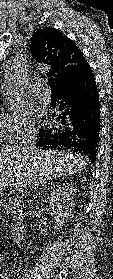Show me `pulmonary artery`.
Returning a JSON list of instances; mask_svg holds the SVG:
<instances>
[{
  "mask_svg": "<svg viewBox=\"0 0 113 279\" xmlns=\"http://www.w3.org/2000/svg\"><path fill=\"white\" fill-rule=\"evenodd\" d=\"M36 89L38 94L41 95L46 102L50 101L51 92L46 84H38Z\"/></svg>",
  "mask_w": 113,
  "mask_h": 279,
  "instance_id": "pulmonary-artery-1",
  "label": "pulmonary artery"
}]
</instances>
